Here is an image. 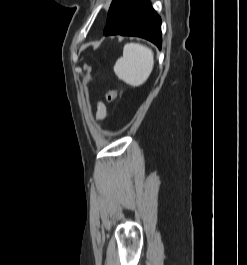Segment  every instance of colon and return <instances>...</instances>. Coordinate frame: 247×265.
Returning a JSON list of instances; mask_svg holds the SVG:
<instances>
[{
	"mask_svg": "<svg viewBox=\"0 0 247 265\" xmlns=\"http://www.w3.org/2000/svg\"><path fill=\"white\" fill-rule=\"evenodd\" d=\"M105 97H106V100H107L108 102H114V101L117 99V97H118V91H117V88L114 87V88L110 89V90L106 93Z\"/></svg>",
	"mask_w": 247,
	"mask_h": 265,
	"instance_id": "colon-1",
	"label": "colon"
}]
</instances>
